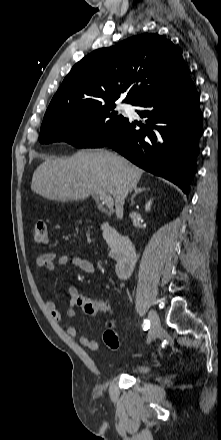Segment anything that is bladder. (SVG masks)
I'll use <instances>...</instances> for the list:
<instances>
[{
    "label": "bladder",
    "mask_w": 221,
    "mask_h": 440,
    "mask_svg": "<svg viewBox=\"0 0 221 440\" xmlns=\"http://www.w3.org/2000/svg\"><path fill=\"white\" fill-rule=\"evenodd\" d=\"M151 369L152 365L144 362L136 363L127 367V370H129V372L135 376L144 375L151 371Z\"/></svg>",
    "instance_id": "obj_1"
}]
</instances>
